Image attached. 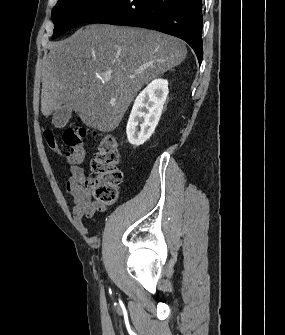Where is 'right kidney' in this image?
<instances>
[{
    "mask_svg": "<svg viewBox=\"0 0 285 335\" xmlns=\"http://www.w3.org/2000/svg\"><path fill=\"white\" fill-rule=\"evenodd\" d=\"M167 80H153L137 96L126 126L128 142L142 146L152 136L168 96ZM140 126L141 130H138Z\"/></svg>",
    "mask_w": 285,
    "mask_h": 335,
    "instance_id": "1",
    "label": "right kidney"
}]
</instances>
